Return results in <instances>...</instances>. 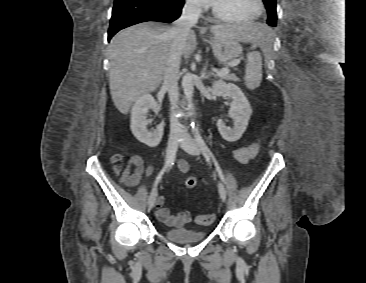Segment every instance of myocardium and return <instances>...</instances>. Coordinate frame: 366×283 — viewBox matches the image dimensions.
<instances>
[{"label": "myocardium", "mask_w": 366, "mask_h": 283, "mask_svg": "<svg viewBox=\"0 0 366 283\" xmlns=\"http://www.w3.org/2000/svg\"><path fill=\"white\" fill-rule=\"evenodd\" d=\"M256 2H257V11L254 15H252L250 17L237 18V17H231V16L224 15L216 9V7L213 3L211 4V11H212L213 16L217 20L222 21V22H226V23H247V22H252V21L257 20L264 13V9H265L264 1L263 0H256Z\"/></svg>", "instance_id": "f54148a6"}]
</instances>
